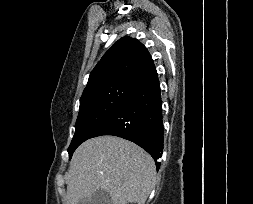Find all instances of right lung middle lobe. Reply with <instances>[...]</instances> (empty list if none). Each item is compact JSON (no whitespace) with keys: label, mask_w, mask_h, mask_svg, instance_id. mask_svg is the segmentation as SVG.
Returning <instances> with one entry per match:
<instances>
[{"label":"right lung middle lobe","mask_w":253,"mask_h":204,"mask_svg":"<svg viewBox=\"0 0 253 204\" xmlns=\"http://www.w3.org/2000/svg\"><path fill=\"white\" fill-rule=\"evenodd\" d=\"M137 82L118 81L91 89L82 94L75 134L68 148L69 159L75 149L92 138L95 131L132 91Z\"/></svg>","instance_id":"dd1d6c3e"}]
</instances>
